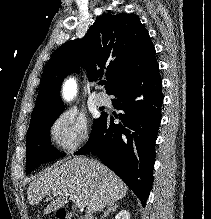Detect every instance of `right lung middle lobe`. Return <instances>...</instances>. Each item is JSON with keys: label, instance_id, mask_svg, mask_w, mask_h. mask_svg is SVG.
Listing matches in <instances>:
<instances>
[{"label": "right lung middle lobe", "instance_id": "1", "mask_svg": "<svg viewBox=\"0 0 211 219\" xmlns=\"http://www.w3.org/2000/svg\"><path fill=\"white\" fill-rule=\"evenodd\" d=\"M64 107L50 113L31 118L27 132L26 173L38 165L63 157L64 154L51 146L50 127L59 117ZM103 113H101L102 115ZM99 119L94 120V125Z\"/></svg>", "mask_w": 211, "mask_h": 219}]
</instances>
